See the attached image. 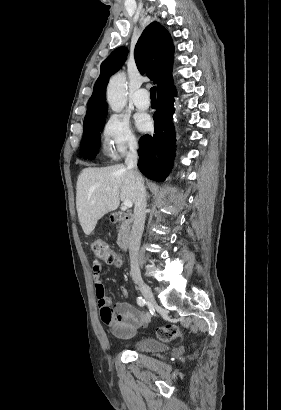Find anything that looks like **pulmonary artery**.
<instances>
[{
	"mask_svg": "<svg viewBox=\"0 0 281 410\" xmlns=\"http://www.w3.org/2000/svg\"><path fill=\"white\" fill-rule=\"evenodd\" d=\"M133 102L135 106L140 110H146L150 106V99L148 97V91L144 88L139 89L134 97Z\"/></svg>",
	"mask_w": 281,
	"mask_h": 410,
	"instance_id": "e3ab8cb5",
	"label": "pulmonary artery"
}]
</instances>
